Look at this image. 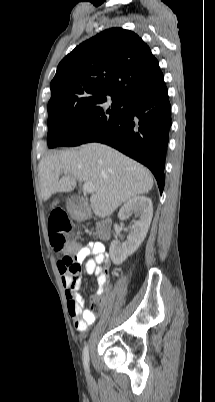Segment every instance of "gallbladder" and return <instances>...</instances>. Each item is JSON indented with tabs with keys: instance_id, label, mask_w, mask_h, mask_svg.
<instances>
[{
	"instance_id": "obj_1",
	"label": "gallbladder",
	"mask_w": 215,
	"mask_h": 402,
	"mask_svg": "<svg viewBox=\"0 0 215 402\" xmlns=\"http://www.w3.org/2000/svg\"><path fill=\"white\" fill-rule=\"evenodd\" d=\"M72 201L76 202V203H81L83 201V198L80 197L79 195H74L71 197ZM58 203V201L53 202L52 206L56 205Z\"/></svg>"
}]
</instances>
